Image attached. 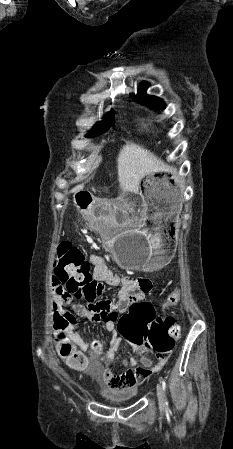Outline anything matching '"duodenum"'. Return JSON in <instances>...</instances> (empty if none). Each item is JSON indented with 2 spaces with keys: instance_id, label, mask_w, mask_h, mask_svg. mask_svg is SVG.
Returning a JSON list of instances; mask_svg holds the SVG:
<instances>
[{
  "instance_id": "duodenum-1",
  "label": "duodenum",
  "mask_w": 233,
  "mask_h": 449,
  "mask_svg": "<svg viewBox=\"0 0 233 449\" xmlns=\"http://www.w3.org/2000/svg\"><path fill=\"white\" fill-rule=\"evenodd\" d=\"M75 198V204L77 206H85L88 210L93 209L94 204L89 191H76Z\"/></svg>"
}]
</instances>
